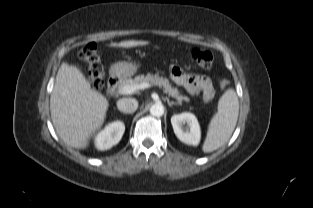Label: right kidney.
Instances as JSON below:
<instances>
[{
  "instance_id": "obj_1",
  "label": "right kidney",
  "mask_w": 313,
  "mask_h": 208,
  "mask_svg": "<svg viewBox=\"0 0 313 208\" xmlns=\"http://www.w3.org/2000/svg\"><path fill=\"white\" fill-rule=\"evenodd\" d=\"M125 131L121 121H114L100 131L95 138V146L99 150H108L118 144Z\"/></svg>"
}]
</instances>
